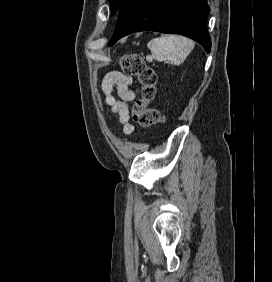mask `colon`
Instances as JSON below:
<instances>
[{"label":"colon","instance_id":"colon-1","mask_svg":"<svg viewBox=\"0 0 272 282\" xmlns=\"http://www.w3.org/2000/svg\"><path fill=\"white\" fill-rule=\"evenodd\" d=\"M124 74L135 76L140 83V97L132 109V116L141 126H150L162 121L161 113L151 107L155 95L156 75L139 54H126L121 58Z\"/></svg>","mask_w":272,"mask_h":282}]
</instances>
